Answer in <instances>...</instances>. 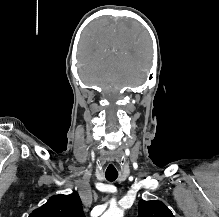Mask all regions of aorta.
<instances>
[{
  "mask_svg": "<svg viewBox=\"0 0 219 217\" xmlns=\"http://www.w3.org/2000/svg\"><path fill=\"white\" fill-rule=\"evenodd\" d=\"M124 212L119 208H110L107 210L102 217H123Z\"/></svg>",
  "mask_w": 219,
  "mask_h": 217,
  "instance_id": "aorta-1",
  "label": "aorta"
}]
</instances>
